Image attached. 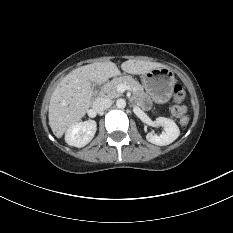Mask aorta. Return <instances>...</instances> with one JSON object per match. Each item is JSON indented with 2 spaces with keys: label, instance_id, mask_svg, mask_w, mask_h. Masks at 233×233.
Here are the masks:
<instances>
[{
  "label": "aorta",
  "instance_id": "aorta-1",
  "mask_svg": "<svg viewBox=\"0 0 233 233\" xmlns=\"http://www.w3.org/2000/svg\"><path fill=\"white\" fill-rule=\"evenodd\" d=\"M116 106L118 107V108H120V109H123V108H125L126 107V101L124 100V99H118L117 101H116Z\"/></svg>",
  "mask_w": 233,
  "mask_h": 233
}]
</instances>
